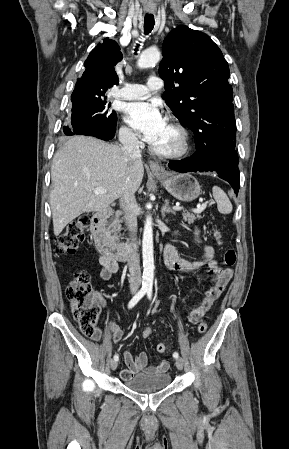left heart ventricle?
<instances>
[{
  "instance_id": "obj_1",
  "label": "left heart ventricle",
  "mask_w": 289,
  "mask_h": 449,
  "mask_svg": "<svg viewBox=\"0 0 289 449\" xmlns=\"http://www.w3.org/2000/svg\"><path fill=\"white\" fill-rule=\"evenodd\" d=\"M160 151H172L179 145V136L168 124L158 137V139L151 144Z\"/></svg>"
}]
</instances>
